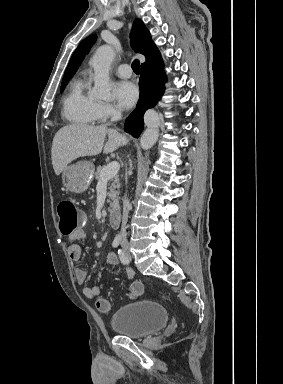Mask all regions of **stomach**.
<instances>
[{"label": "stomach", "instance_id": "1", "mask_svg": "<svg viewBox=\"0 0 283 384\" xmlns=\"http://www.w3.org/2000/svg\"><path fill=\"white\" fill-rule=\"evenodd\" d=\"M94 178V164L81 160L76 164L67 166L62 172V184L72 194H83L88 190Z\"/></svg>", "mask_w": 283, "mask_h": 384}]
</instances>
